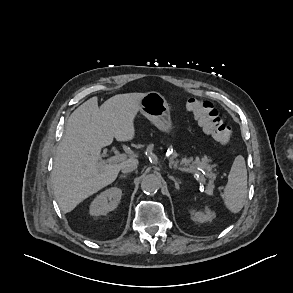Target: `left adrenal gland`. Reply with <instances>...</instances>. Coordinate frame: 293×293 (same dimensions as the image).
I'll list each match as a JSON object with an SVG mask.
<instances>
[{"label":"left adrenal gland","mask_w":293,"mask_h":293,"mask_svg":"<svg viewBox=\"0 0 293 293\" xmlns=\"http://www.w3.org/2000/svg\"><path fill=\"white\" fill-rule=\"evenodd\" d=\"M169 178H170L171 180L174 181V183H175V188H176L177 190H179V184H180V182H178L173 176H170V175H169Z\"/></svg>","instance_id":"1"}]
</instances>
